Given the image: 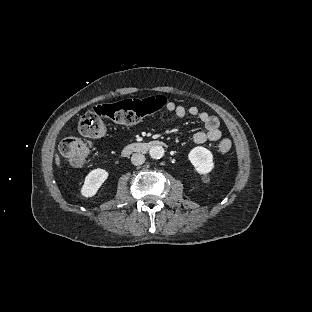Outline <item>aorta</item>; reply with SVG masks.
Here are the masks:
<instances>
[{"label":"aorta","mask_w":312,"mask_h":312,"mask_svg":"<svg viewBox=\"0 0 312 312\" xmlns=\"http://www.w3.org/2000/svg\"><path fill=\"white\" fill-rule=\"evenodd\" d=\"M149 154L153 159H160L164 156V148L160 145L151 146Z\"/></svg>","instance_id":"1"}]
</instances>
